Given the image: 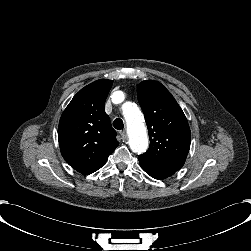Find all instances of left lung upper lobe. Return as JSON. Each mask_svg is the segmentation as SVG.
Masks as SVG:
<instances>
[{"label":"left lung upper lobe","mask_w":251,"mask_h":251,"mask_svg":"<svg viewBox=\"0 0 251 251\" xmlns=\"http://www.w3.org/2000/svg\"><path fill=\"white\" fill-rule=\"evenodd\" d=\"M137 97L148 127L150 146L140 155L155 164L178 171L190 149L188 121L171 93L160 82L138 84Z\"/></svg>","instance_id":"5c2ea615"}]
</instances>
